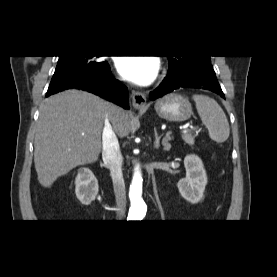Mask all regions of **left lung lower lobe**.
<instances>
[{
	"label": "left lung lower lobe",
	"mask_w": 277,
	"mask_h": 277,
	"mask_svg": "<svg viewBox=\"0 0 277 277\" xmlns=\"http://www.w3.org/2000/svg\"><path fill=\"white\" fill-rule=\"evenodd\" d=\"M185 87L202 88L224 97L214 70H193L187 73L169 72L162 83L150 93L149 97L151 100H155L176 89Z\"/></svg>",
	"instance_id": "left-lung-lower-lobe-1"
}]
</instances>
